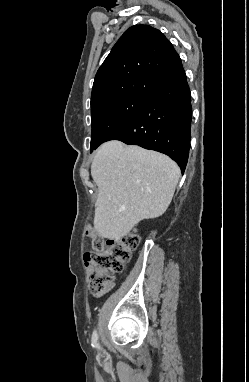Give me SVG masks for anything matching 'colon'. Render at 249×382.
I'll return each mask as SVG.
<instances>
[{
	"instance_id": "5ec220e1",
	"label": "colon",
	"mask_w": 249,
	"mask_h": 382,
	"mask_svg": "<svg viewBox=\"0 0 249 382\" xmlns=\"http://www.w3.org/2000/svg\"><path fill=\"white\" fill-rule=\"evenodd\" d=\"M88 234L91 237L92 250L84 254V263L89 272L90 291L99 297L112 289L113 275L124 270L140 239L135 232L117 241H105L93 232Z\"/></svg>"
}]
</instances>
